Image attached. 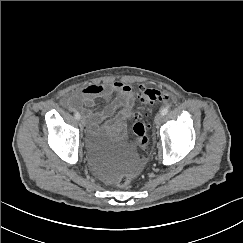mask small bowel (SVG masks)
I'll return each instance as SVG.
<instances>
[{
  "label": "small bowel",
  "instance_id": "c3829d8e",
  "mask_svg": "<svg viewBox=\"0 0 243 243\" xmlns=\"http://www.w3.org/2000/svg\"><path fill=\"white\" fill-rule=\"evenodd\" d=\"M96 99H102L108 104L101 111L92 112L88 108L94 106ZM65 103L72 110L84 109L85 116L93 124L107 119V123L116 127L120 135H125L126 121L132 116L136 97L133 87L122 81H115L86 85L69 95Z\"/></svg>",
  "mask_w": 243,
  "mask_h": 243
}]
</instances>
